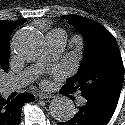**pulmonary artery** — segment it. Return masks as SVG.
<instances>
[{"instance_id": "pulmonary-artery-1", "label": "pulmonary artery", "mask_w": 125, "mask_h": 125, "mask_svg": "<svg viewBox=\"0 0 125 125\" xmlns=\"http://www.w3.org/2000/svg\"><path fill=\"white\" fill-rule=\"evenodd\" d=\"M66 45V35L62 31H50L46 34V51L44 53L45 59H55L64 50ZM40 69V65L29 68L15 77L9 79L4 83V91L9 93L11 91L20 89L34 80L36 74ZM85 103L83 98L79 99V104Z\"/></svg>"}]
</instances>
